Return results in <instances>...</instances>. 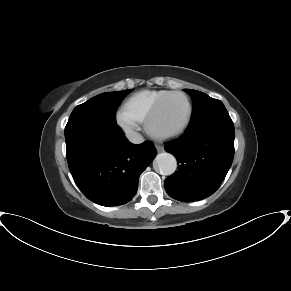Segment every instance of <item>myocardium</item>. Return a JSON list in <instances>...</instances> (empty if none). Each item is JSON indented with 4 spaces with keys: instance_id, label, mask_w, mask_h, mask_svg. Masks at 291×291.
<instances>
[{
    "instance_id": "1",
    "label": "myocardium",
    "mask_w": 291,
    "mask_h": 291,
    "mask_svg": "<svg viewBox=\"0 0 291 291\" xmlns=\"http://www.w3.org/2000/svg\"><path fill=\"white\" fill-rule=\"evenodd\" d=\"M173 95H180V96L185 98L186 104H187V117H186L184 123L176 129L160 130L156 127V124H155L157 115H158L163 103L165 102V100L168 97L173 96ZM192 116H193V106H192L191 100L188 97V95L182 91H169L168 93L163 95L156 102V104L153 106V108L149 112V114L146 118V127H147L149 134L156 137V138H171V137L180 135L181 133H183L187 129V127L191 123Z\"/></svg>"
}]
</instances>
